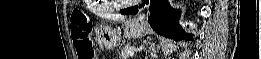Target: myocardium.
Wrapping results in <instances>:
<instances>
[{
	"label": "myocardium",
	"instance_id": "1",
	"mask_svg": "<svg viewBox=\"0 0 261 59\" xmlns=\"http://www.w3.org/2000/svg\"><path fill=\"white\" fill-rule=\"evenodd\" d=\"M111 4L114 8L120 9L128 6V3L126 2H116V1H111Z\"/></svg>",
	"mask_w": 261,
	"mask_h": 59
}]
</instances>
